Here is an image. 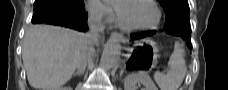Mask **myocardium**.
<instances>
[{"instance_id": "f54148a6", "label": "myocardium", "mask_w": 228, "mask_h": 90, "mask_svg": "<svg viewBox=\"0 0 228 90\" xmlns=\"http://www.w3.org/2000/svg\"><path fill=\"white\" fill-rule=\"evenodd\" d=\"M134 1H138V0H123V1L119 2L118 7H117V15H118V20H119L121 26L124 27L125 29L133 30V31L156 30L160 26L161 19H162V13H161L160 7L158 6L157 2L154 0H146L154 6V8L157 12V19L153 25H151V26H134V25H130L129 23H127V21L124 19L123 15H122L121 7L127 3H131Z\"/></svg>"}]
</instances>
